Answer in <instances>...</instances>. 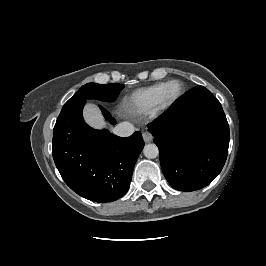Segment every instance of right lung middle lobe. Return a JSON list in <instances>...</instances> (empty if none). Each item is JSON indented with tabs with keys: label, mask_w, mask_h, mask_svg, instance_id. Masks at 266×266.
Masks as SVG:
<instances>
[{
	"label": "right lung middle lobe",
	"mask_w": 266,
	"mask_h": 266,
	"mask_svg": "<svg viewBox=\"0 0 266 266\" xmlns=\"http://www.w3.org/2000/svg\"><path fill=\"white\" fill-rule=\"evenodd\" d=\"M124 85L119 83L97 84L88 83L82 86L63 106L60 116L74 108L80 103L89 99H96L105 102H113L119 95Z\"/></svg>",
	"instance_id": "obj_1"
}]
</instances>
